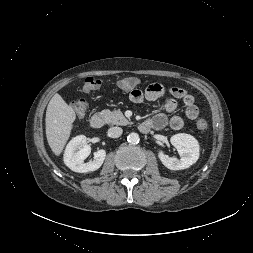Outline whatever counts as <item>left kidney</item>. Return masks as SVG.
<instances>
[{
  "mask_svg": "<svg viewBox=\"0 0 253 253\" xmlns=\"http://www.w3.org/2000/svg\"><path fill=\"white\" fill-rule=\"evenodd\" d=\"M170 142L177 149L181 158L169 157L163 151H159L158 157L165 167L170 170H182L196 163L200 147L193 136L185 133L175 134L170 138Z\"/></svg>",
  "mask_w": 253,
  "mask_h": 253,
  "instance_id": "5707ae66",
  "label": "left kidney"
}]
</instances>
